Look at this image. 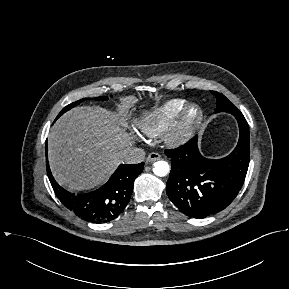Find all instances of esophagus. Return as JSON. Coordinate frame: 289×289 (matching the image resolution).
<instances>
[{
    "instance_id": "esophagus-1",
    "label": "esophagus",
    "mask_w": 289,
    "mask_h": 289,
    "mask_svg": "<svg viewBox=\"0 0 289 289\" xmlns=\"http://www.w3.org/2000/svg\"><path fill=\"white\" fill-rule=\"evenodd\" d=\"M161 156L158 153L152 152L147 157V162H154L160 160Z\"/></svg>"
}]
</instances>
